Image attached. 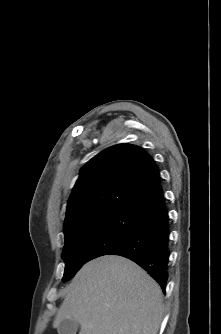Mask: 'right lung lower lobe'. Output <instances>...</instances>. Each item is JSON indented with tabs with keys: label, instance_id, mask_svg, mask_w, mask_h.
<instances>
[{
	"label": "right lung lower lobe",
	"instance_id": "1",
	"mask_svg": "<svg viewBox=\"0 0 221 334\" xmlns=\"http://www.w3.org/2000/svg\"><path fill=\"white\" fill-rule=\"evenodd\" d=\"M169 218L163 194L140 215L126 236L106 255L124 256L153 277L165 292L168 279Z\"/></svg>",
	"mask_w": 221,
	"mask_h": 334
}]
</instances>
